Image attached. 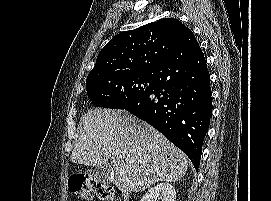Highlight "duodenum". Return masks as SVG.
I'll list each match as a JSON object with an SVG mask.
<instances>
[{"label": "duodenum", "mask_w": 271, "mask_h": 201, "mask_svg": "<svg viewBox=\"0 0 271 201\" xmlns=\"http://www.w3.org/2000/svg\"><path fill=\"white\" fill-rule=\"evenodd\" d=\"M130 195L128 192H123L122 194V201H129Z\"/></svg>", "instance_id": "duodenum-1"}]
</instances>
